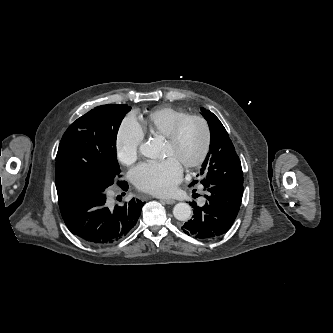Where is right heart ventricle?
<instances>
[{
  "instance_id": "1",
  "label": "right heart ventricle",
  "mask_w": 333,
  "mask_h": 333,
  "mask_svg": "<svg viewBox=\"0 0 333 333\" xmlns=\"http://www.w3.org/2000/svg\"><path fill=\"white\" fill-rule=\"evenodd\" d=\"M188 114L186 110L180 108H157L142 119L141 128L144 134L149 136L166 137L175 123Z\"/></svg>"
}]
</instances>
